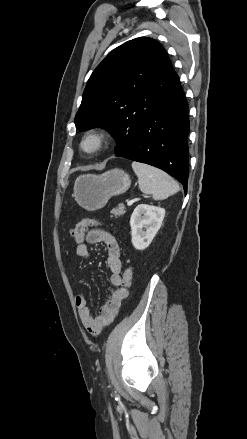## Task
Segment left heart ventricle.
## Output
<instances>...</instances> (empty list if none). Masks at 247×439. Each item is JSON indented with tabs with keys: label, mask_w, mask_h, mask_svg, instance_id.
I'll list each match as a JSON object with an SVG mask.
<instances>
[{
	"label": "left heart ventricle",
	"mask_w": 247,
	"mask_h": 439,
	"mask_svg": "<svg viewBox=\"0 0 247 439\" xmlns=\"http://www.w3.org/2000/svg\"><path fill=\"white\" fill-rule=\"evenodd\" d=\"M87 146H88V147L93 146V142H92V141H89V142L87 143Z\"/></svg>",
	"instance_id": "b2bd125f"
}]
</instances>
